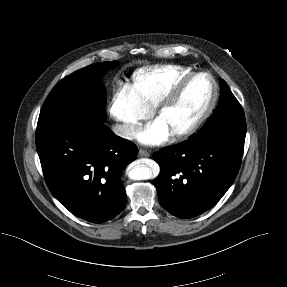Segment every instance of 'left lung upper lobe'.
Returning a JSON list of instances; mask_svg holds the SVG:
<instances>
[{"label":"left lung upper lobe","instance_id":"5c2ea615","mask_svg":"<svg viewBox=\"0 0 287 287\" xmlns=\"http://www.w3.org/2000/svg\"><path fill=\"white\" fill-rule=\"evenodd\" d=\"M246 122L243 109L224 80H221V100L218 108L195 138L205 141L225 140L244 144Z\"/></svg>","mask_w":287,"mask_h":287}]
</instances>
